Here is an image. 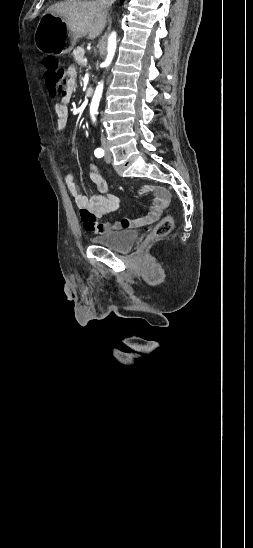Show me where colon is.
Listing matches in <instances>:
<instances>
[{
	"label": "colon",
	"instance_id": "obj_1",
	"mask_svg": "<svg viewBox=\"0 0 253 548\" xmlns=\"http://www.w3.org/2000/svg\"><path fill=\"white\" fill-rule=\"evenodd\" d=\"M48 67L46 88L48 91L66 94L68 78L63 69L57 66L53 59L45 61ZM173 227V221L170 217H165L157 223L149 236V240L159 238L168 234Z\"/></svg>",
	"mask_w": 253,
	"mask_h": 548
}]
</instances>
